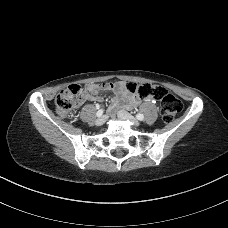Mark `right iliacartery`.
<instances>
[{"mask_svg": "<svg viewBox=\"0 0 228 228\" xmlns=\"http://www.w3.org/2000/svg\"><path fill=\"white\" fill-rule=\"evenodd\" d=\"M96 115L101 117L103 115V109H99Z\"/></svg>", "mask_w": 228, "mask_h": 228, "instance_id": "82829eb1", "label": "right iliac artery"}]
</instances>
